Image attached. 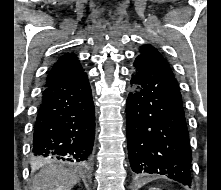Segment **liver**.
Here are the masks:
<instances>
[{
	"label": "liver",
	"instance_id": "6515ba94",
	"mask_svg": "<svg viewBox=\"0 0 221 190\" xmlns=\"http://www.w3.org/2000/svg\"><path fill=\"white\" fill-rule=\"evenodd\" d=\"M78 181L79 177L70 170L48 165L35 176L31 190H71Z\"/></svg>",
	"mask_w": 221,
	"mask_h": 190
}]
</instances>
